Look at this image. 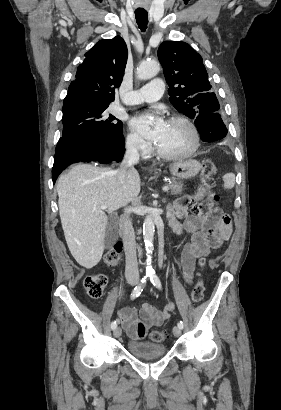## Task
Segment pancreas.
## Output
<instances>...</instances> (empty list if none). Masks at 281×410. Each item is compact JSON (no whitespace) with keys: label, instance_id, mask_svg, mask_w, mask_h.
Segmentation results:
<instances>
[{"label":"pancreas","instance_id":"1","mask_svg":"<svg viewBox=\"0 0 281 410\" xmlns=\"http://www.w3.org/2000/svg\"><path fill=\"white\" fill-rule=\"evenodd\" d=\"M183 183L175 178H172L169 182L170 193L173 195L181 194L183 191Z\"/></svg>","mask_w":281,"mask_h":410}]
</instances>
